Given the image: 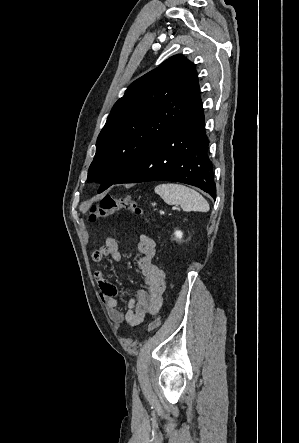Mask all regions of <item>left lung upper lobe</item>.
<instances>
[{"mask_svg": "<svg viewBox=\"0 0 299 443\" xmlns=\"http://www.w3.org/2000/svg\"><path fill=\"white\" fill-rule=\"evenodd\" d=\"M194 65L175 55L133 82L113 106L96 142L89 182L106 190L199 102Z\"/></svg>", "mask_w": 299, "mask_h": 443, "instance_id": "5c2ea615", "label": "left lung upper lobe"}]
</instances>
